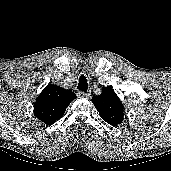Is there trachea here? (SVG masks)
Instances as JSON below:
<instances>
[{"label": "trachea", "instance_id": "trachea-1", "mask_svg": "<svg viewBox=\"0 0 171 171\" xmlns=\"http://www.w3.org/2000/svg\"><path fill=\"white\" fill-rule=\"evenodd\" d=\"M77 89H79L80 91H83V92L87 91V89H88V82H87V79H86V77L84 75L80 76Z\"/></svg>", "mask_w": 171, "mask_h": 171}]
</instances>
